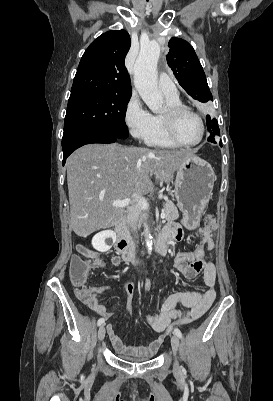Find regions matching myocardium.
Instances as JSON below:
<instances>
[{"label":"myocardium","mask_w":273,"mask_h":401,"mask_svg":"<svg viewBox=\"0 0 273 401\" xmlns=\"http://www.w3.org/2000/svg\"><path fill=\"white\" fill-rule=\"evenodd\" d=\"M182 113H189L191 115H194L195 117L198 118V120L201 124L202 135H201L200 139L197 140L196 142H192V143L184 142L183 140H181L178 137V135L176 133V119ZM161 120H162L164 129H165L168 137L173 142H175L176 144H178L181 147H195V146L201 144L204 141V139L206 138L207 127H206V123H205L203 116L200 113H198L197 111H195L192 108H189L183 104L168 105L165 113L161 114Z\"/></svg>","instance_id":"obj_1"}]
</instances>
